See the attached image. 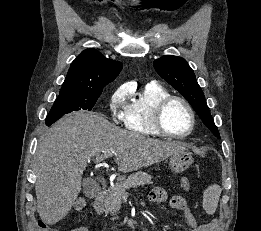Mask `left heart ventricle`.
<instances>
[{
	"label": "left heart ventricle",
	"mask_w": 261,
	"mask_h": 231,
	"mask_svg": "<svg viewBox=\"0 0 261 231\" xmlns=\"http://www.w3.org/2000/svg\"><path fill=\"white\" fill-rule=\"evenodd\" d=\"M164 123L167 130L174 134L185 133L191 124L186 107L179 101H173L165 110Z\"/></svg>",
	"instance_id": "left-heart-ventricle-1"
}]
</instances>
